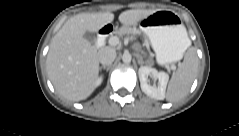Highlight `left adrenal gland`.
<instances>
[{"label": "left adrenal gland", "instance_id": "left-adrenal-gland-1", "mask_svg": "<svg viewBox=\"0 0 239 136\" xmlns=\"http://www.w3.org/2000/svg\"><path fill=\"white\" fill-rule=\"evenodd\" d=\"M139 64H142L143 63V61H142V58L141 57H139Z\"/></svg>", "mask_w": 239, "mask_h": 136}]
</instances>
